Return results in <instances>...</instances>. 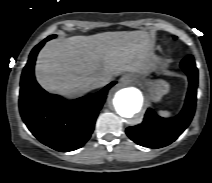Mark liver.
<instances>
[{
	"label": "liver",
	"mask_w": 212,
	"mask_h": 183,
	"mask_svg": "<svg viewBox=\"0 0 212 183\" xmlns=\"http://www.w3.org/2000/svg\"><path fill=\"white\" fill-rule=\"evenodd\" d=\"M156 60L146 32H105L47 43L38 55L35 74L50 92L80 96L94 88L97 77L110 79L123 72L146 75Z\"/></svg>",
	"instance_id": "obj_1"
}]
</instances>
